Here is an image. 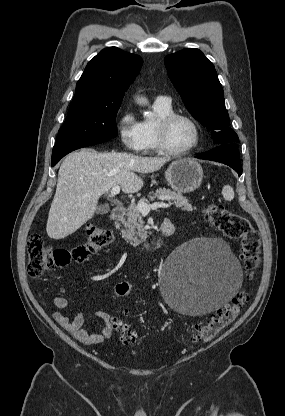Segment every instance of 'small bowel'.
<instances>
[{"label": "small bowel", "mask_w": 285, "mask_h": 416, "mask_svg": "<svg viewBox=\"0 0 285 416\" xmlns=\"http://www.w3.org/2000/svg\"><path fill=\"white\" fill-rule=\"evenodd\" d=\"M53 304L59 310L74 312L72 319H69L59 311H51V316L58 325L80 343L85 345L100 344L111 337L113 325L112 317L108 312L103 310L95 312V316L103 322V325L98 333H89L85 327V317L83 312L71 309L66 298L56 296L53 299Z\"/></svg>", "instance_id": "1"}]
</instances>
